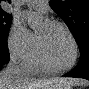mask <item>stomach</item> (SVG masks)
<instances>
[{"label":"stomach","mask_w":89,"mask_h":89,"mask_svg":"<svg viewBox=\"0 0 89 89\" xmlns=\"http://www.w3.org/2000/svg\"><path fill=\"white\" fill-rule=\"evenodd\" d=\"M51 89H72V88L69 86H58L56 88H51Z\"/></svg>","instance_id":"stomach-1"}]
</instances>
